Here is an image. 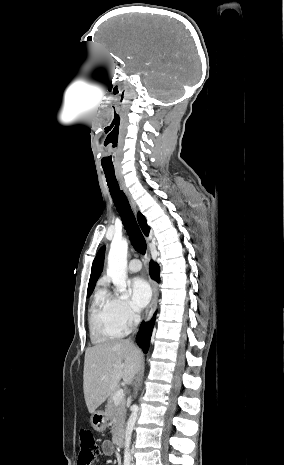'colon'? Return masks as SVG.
Returning <instances> with one entry per match:
<instances>
[{"instance_id":"5ec220e1","label":"colon","mask_w":284,"mask_h":465,"mask_svg":"<svg viewBox=\"0 0 284 465\" xmlns=\"http://www.w3.org/2000/svg\"><path fill=\"white\" fill-rule=\"evenodd\" d=\"M80 455L79 465H91L97 451L95 438L90 430H80Z\"/></svg>"}]
</instances>
